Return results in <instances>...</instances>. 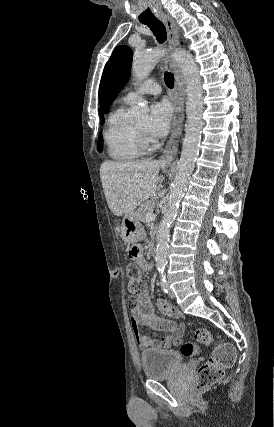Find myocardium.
Segmentation results:
<instances>
[{
    "mask_svg": "<svg viewBox=\"0 0 274 427\" xmlns=\"http://www.w3.org/2000/svg\"><path fill=\"white\" fill-rule=\"evenodd\" d=\"M134 139L140 154L151 153L158 147V144L152 138L146 136L137 125H134Z\"/></svg>",
    "mask_w": 274,
    "mask_h": 427,
    "instance_id": "obj_1",
    "label": "myocardium"
}]
</instances>
